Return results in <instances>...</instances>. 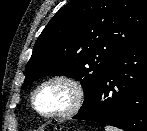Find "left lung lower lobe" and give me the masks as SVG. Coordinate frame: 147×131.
Here are the masks:
<instances>
[{"instance_id": "0a47b994", "label": "left lung lower lobe", "mask_w": 147, "mask_h": 131, "mask_svg": "<svg viewBox=\"0 0 147 131\" xmlns=\"http://www.w3.org/2000/svg\"><path fill=\"white\" fill-rule=\"evenodd\" d=\"M73 118L147 131V36L120 53L95 96Z\"/></svg>"}]
</instances>
